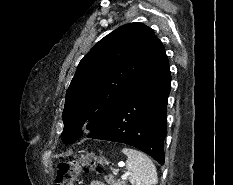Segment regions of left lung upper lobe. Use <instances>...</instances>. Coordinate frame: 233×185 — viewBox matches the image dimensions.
Returning <instances> with one entry per match:
<instances>
[{
  "label": "left lung upper lobe",
  "mask_w": 233,
  "mask_h": 185,
  "mask_svg": "<svg viewBox=\"0 0 233 185\" xmlns=\"http://www.w3.org/2000/svg\"><path fill=\"white\" fill-rule=\"evenodd\" d=\"M164 55L161 41L142 23L123 25L96 43L67 90L62 140L75 141L85 123L91 132L105 124L131 87Z\"/></svg>",
  "instance_id": "obj_1"
}]
</instances>
